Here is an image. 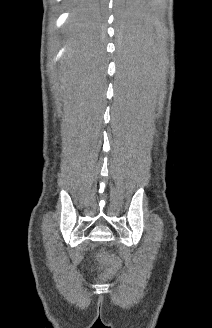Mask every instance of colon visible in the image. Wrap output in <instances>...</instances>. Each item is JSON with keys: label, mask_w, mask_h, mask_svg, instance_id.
I'll return each instance as SVG.
<instances>
[{"label": "colon", "mask_w": 212, "mask_h": 328, "mask_svg": "<svg viewBox=\"0 0 212 328\" xmlns=\"http://www.w3.org/2000/svg\"><path fill=\"white\" fill-rule=\"evenodd\" d=\"M98 260L101 263L108 265L112 273L117 272L121 268V261L114 255L105 252H100L98 254Z\"/></svg>", "instance_id": "5ec220e1"}]
</instances>
